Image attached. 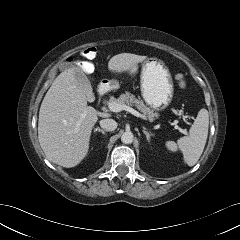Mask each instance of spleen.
I'll return each instance as SVG.
<instances>
[{"instance_id":"1","label":"spleen","mask_w":240,"mask_h":240,"mask_svg":"<svg viewBox=\"0 0 240 240\" xmlns=\"http://www.w3.org/2000/svg\"><path fill=\"white\" fill-rule=\"evenodd\" d=\"M209 127V113L206 109H201L189 130V135L174 141H167L166 148L172 152L180 150L184 157V162L188 166H194L199 160L204 150Z\"/></svg>"}]
</instances>
